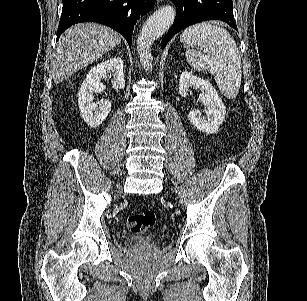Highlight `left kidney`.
Masks as SVG:
<instances>
[{
  "label": "left kidney",
  "mask_w": 307,
  "mask_h": 301,
  "mask_svg": "<svg viewBox=\"0 0 307 301\" xmlns=\"http://www.w3.org/2000/svg\"><path fill=\"white\" fill-rule=\"evenodd\" d=\"M191 86L202 90L199 100L203 102L205 108L204 110H199V108L190 110L189 114H187L188 120H190L198 130H202V132H207V134L217 132L226 114L224 102H222L209 80L199 78V76H195V74L187 72V70L181 72L179 78V92L181 96H188V94H191ZM202 112H205V116H202Z\"/></svg>",
  "instance_id": "5707ae66"
}]
</instances>
